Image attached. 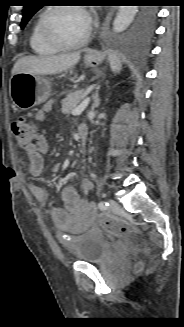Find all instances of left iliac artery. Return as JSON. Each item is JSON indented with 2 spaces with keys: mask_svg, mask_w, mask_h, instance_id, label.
I'll use <instances>...</instances> for the list:
<instances>
[{
  "mask_svg": "<svg viewBox=\"0 0 184 327\" xmlns=\"http://www.w3.org/2000/svg\"><path fill=\"white\" fill-rule=\"evenodd\" d=\"M109 206V203L106 202V201H100L99 204H98V207L101 209V210H106Z\"/></svg>",
  "mask_w": 184,
  "mask_h": 327,
  "instance_id": "left-iliac-artery-1",
  "label": "left iliac artery"
}]
</instances>
